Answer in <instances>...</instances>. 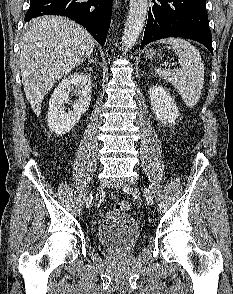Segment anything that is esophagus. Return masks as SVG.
Here are the masks:
<instances>
[{
    "label": "esophagus",
    "mask_w": 233,
    "mask_h": 294,
    "mask_svg": "<svg viewBox=\"0 0 233 294\" xmlns=\"http://www.w3.org/2000/svg\"><path fill=\"white\" fill-rule=\"evenodd\" d=\"M119 3H120L119 0H113V4L115 8H118Z\"/></svg>",
    "instance_id": "1"
}]
</instances>
